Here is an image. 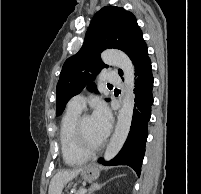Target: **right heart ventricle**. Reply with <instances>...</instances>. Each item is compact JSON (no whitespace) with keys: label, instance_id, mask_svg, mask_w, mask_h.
Listing matches in <instances>:
<instances>
[{"label":"right heart ventricle","instance_id":"right-heart-ventricle-1","mask_svg":"<svg viewBox=\"0 0 201 194\" xmlns=\"http://www.w3.org/2000/svg\"><path fill=\"white\" fill-rule=\"evenodd\" d=\"M81 114V110L67 107L60 124L59 141L64 162L75 166L84 163L89 156L82 153L75 140V123Z\"/></svg>","mask_w":201,"mask_h":194}]
</instances>
